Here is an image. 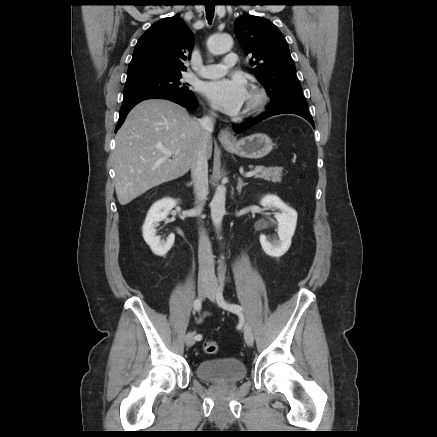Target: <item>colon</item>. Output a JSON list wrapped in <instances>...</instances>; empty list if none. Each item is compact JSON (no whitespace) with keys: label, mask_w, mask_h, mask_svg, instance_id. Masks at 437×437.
Here are the masks:
<instances>
[{"label":"colon","mask_w":437,"mask_h":437,"mask_svg":"<svg viewBox=\"0 0 437 437\" xmlns=\"http://www.w3.org/2000/svg\"><path fill=\"white\" fill-rule=\"evenodd\" d=\"M204 351L207 354H215L218 351V344L213 340H206L203 345Z\"/></svg>","instance_id":"5ec220e1"}]
</instances>
